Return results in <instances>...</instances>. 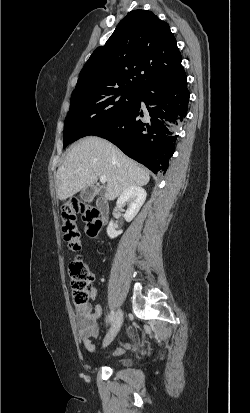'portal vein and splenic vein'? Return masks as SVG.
I'll use <instances>...</instances> for the list:
<instances>
[{
	"mask_svg": "<svg viewBox=\"0 0 250 413\" xmlns=\"http://www.w3.org/2000/svg\"><path fill=\"white\" fill-rule=\"evenodd\" d=\"M107 181V177L102 175L100 176V182L105 183Z\"/></svg>",
	"mask_w": 250,
	"mask_h": 413,
	"instance_id": "obj_1",
	"label": "portal vein and splenic vein"
}]
</instances>
